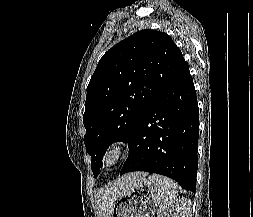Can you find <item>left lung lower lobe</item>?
<instances>
[{
    "label": "left lung lower lobe",
    "instance_id": "1",
    "mask_svg": "<svg viewBox=\"0 0 253 217\" xmlns=\"http://www.w3.org/2000/svg\"><path fill=\"white\" fill-rule=\"evenodd\" d=\"M198 121L196 91L185 62L135 123L128 140L129 157L120 174H162L195 192Z\"/></svg>",
    "mask_w": 253,
    "mask_h": 217
}]
</instances>
